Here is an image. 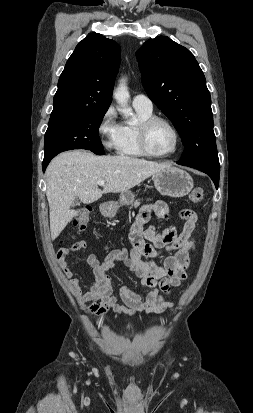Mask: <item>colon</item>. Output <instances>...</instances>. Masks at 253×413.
Wrapping results in <instances>:
<instances>
[{
  "label": "colon",
  "instance_id": "1",
  "mask_svg": "<svg viewBox=\"0 0 253 413\" xmlns=\"http://www.w3.org/2000/svg\"><path fill=\"white\" fill-rule=\"evenodd\" d=\"M203 197H204L203 189L200 187H196L191 191L189 199L192 203L198 204L202 202ZM91 212H92V208L90 205L83 206L81 210L79 211L77 219H76V224H75V227L79 231H82L86 228Z\"/></svg>",
  "mask_w": 253,
  "mask_h": 413
}]
</instances>
